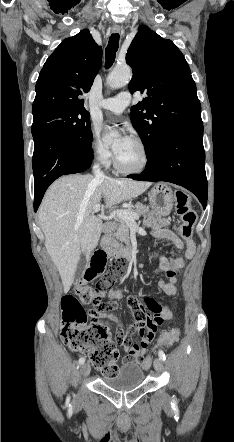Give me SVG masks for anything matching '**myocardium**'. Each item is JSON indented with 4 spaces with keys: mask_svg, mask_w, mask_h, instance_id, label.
I'll use <instances>...</instances> for the list:
<instances>
[{
    "mask_svg": "<svg viewBox=\"0 0 234 442\" xmlns=\"http://www.w3.org/2000/svg\"><path fill=\"white\" fill-rule=\"evenodd\" d=\"M131 141L135 142L139 146V148L142 152V162L137 168L125 169L118 162L117 155L115 153L114 154V161H113L114 168L119 173H121L123 175H135V174L142 173L147 168L148 163H149V150H148L146 144L140 138H136V137L131 138Z\"/></svg>",
    "mask_w": 234,
    "mask_h": 442,
    "instance_id": "obj_1",
    "label": "myocardium"
}]
</instances>
